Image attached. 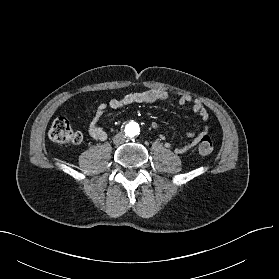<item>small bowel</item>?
<instances>
[{
  "mask_svg": "<svg viewBox=\"0 0 279 279\" xmlns=\"http://www.w3.org/2000/svg\"><path fill=\"white\" fill-rule=\"evenodd\" d=\"M167 99V92L157 89H146L137 92H130L119 98H111L107 104L101 103L97 106L94 117L88 126V133L93 139L97 141H104L107 139V132L99 125V120L107 107L119 109L132 104L153 103L156 101H166ZM186 104L192 105L193 112L200 116L202 121L205 123V126L203 131L200 133H196L194 131L187 133V135L192 138V141L182 147L177 148L175 151L178 154H185L190 151L199 143L200 138L203 135H207L209 131V125L207 124L209 120V112L203 103L198 99L192 98L190 95H182L179 98V105L183 106ZM167 146L170 145L167 144Z\"/></svg>",
  "mask_w": 279,
  "mask_h": 279,
  "instance_id": "obj_1",
  "label": "small bowel"
}]
</instances>
